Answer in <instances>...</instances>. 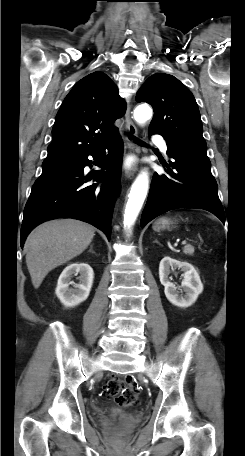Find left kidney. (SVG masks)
<instances>
[{"instance_id":"1","label":"left kidney","mask_w":245,"mask_h":456,"mask_svg":"<svg viewBox=\"0 0 245 456\" xmlns=\"http://www.w3.org/2000/svg\"><path fill=\"white\" fill-rule=\"evenodd\" d=\"M176 268L184 272V279L181 283V288L185 292L184 296L179 295L175 284L169 281L171 270ZM159 278L161 284L164 286L166 298L170 303L178 307L185 308L191 306L203 291V284L195 268L187 262L177 261L168 256L164 257L160 262Z\"/></svg>"}]
</instances>
